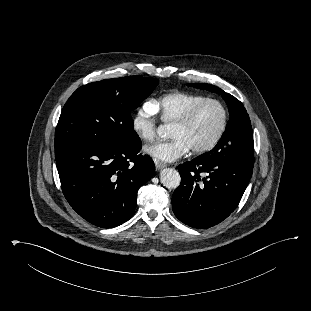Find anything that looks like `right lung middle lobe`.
I'll list each match as a JSON object with an SVG mask.
<instances>
[{
	"label": "right lung middle lobe",
	"instance_id": "obj_1",
	"mask_svg": "<svg viewBox=\"0 0 311 311\" xmlns=\"http://www.w3.org/2000/svg\"><path fill=\"white\" fill-rule=\"evenodd\" d=\"M157 84L155 78L131 76L78 88L60 115L55 148L73 144L122 148L139 143L141 140L133 129L131 111Z\"/></svg>",
	"mask_w": 311,
	"mask_h": 311
}]
</instances>
